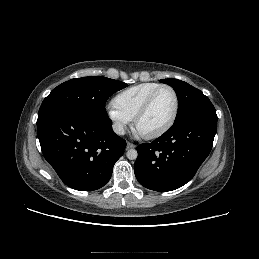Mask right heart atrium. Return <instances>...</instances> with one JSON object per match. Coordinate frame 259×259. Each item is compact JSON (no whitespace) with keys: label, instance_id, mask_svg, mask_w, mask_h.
<instances>
[{"label":"right heart atrium","instance_id":"obj_1","mask_svg":"<svg viewBox=\"0 0 259 259\" xmlns=\"http://www.w3.org/2000/svg\"><path fill=\"white\" fill-rule=\"evenodd\" d=\"M106 113L109 120L112 122L114 130L118 134H123L129 125L130 120L113 105L107 107Z\"/></svg>","mask_w":259,"mask_h":259}]
</instances>
